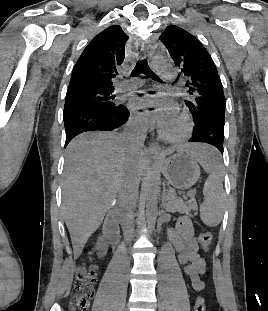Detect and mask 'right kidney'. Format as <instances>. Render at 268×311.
Returning <instances> with one entry per match:
<instances>
[{
    "mask_svg": "<svg viewBox=\"0 0 268 311\" xmlns=\"http://www.w3.org/2000/svg\"><path fill=\"white\" fill-rule=\"evenodd\" d=\"M96 249L98 251V256L102 257V256H104L106 254L108 246H107V244L105 243V241L103 239H100L97 242Z\"/></svg>",
    "mask_w": 268,
    "mask_h": 311,
    "instance_id": "1",
    "label": "right kidney"
}]
</instances>
